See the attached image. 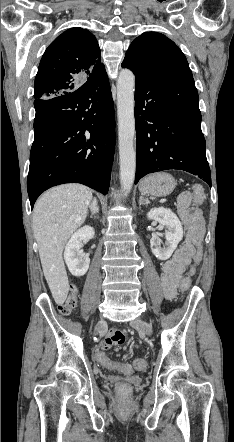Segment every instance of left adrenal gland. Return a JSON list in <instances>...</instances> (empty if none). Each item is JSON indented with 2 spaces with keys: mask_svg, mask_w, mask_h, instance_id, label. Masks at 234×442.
I'll use <instances>...</instances> for the list:
<instances>
[{
  "mask_svg": "<svg viewBox=\"0 0 234 442\" xmlns=\"http://www.w3.org/2000/svg\"><path fill=\"white\" fill-rule=\"evenodd\" d=\"M150 204V201L148 198H144L142 195L140 196L139 205H146Z\"/></svg>",
  "mask_w": 234,
  "mask_h": 442,
  "instance_id": "a2214340",
  "label": "left adrenal gland"
}]
</instances>
